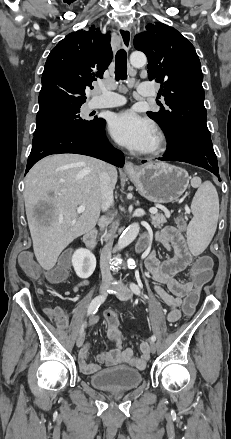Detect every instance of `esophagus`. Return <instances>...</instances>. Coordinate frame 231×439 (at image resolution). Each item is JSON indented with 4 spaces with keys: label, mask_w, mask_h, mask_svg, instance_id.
I'll use <instances>...</instances> for the list:
<instances>
[{
    "label": "esophagus",
    "mask_w": 231,
    "mask_h": 439,
    "mask_svg": "<svg viewBox=\"0 0 231 439\" xmlns=\"http://www.w3.org/2000/svg\"><path fill=\"white\" fill-rule=\"evenodd\" d=\"M118 33L124 49L128 51L131 47V30L126 26H120L118 28ZM124 170L128 173H131L136 171V167L132 162L126 161Z\"/></svg>",
    "instance_id": "obj_1"
}]
</instances>
